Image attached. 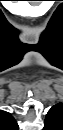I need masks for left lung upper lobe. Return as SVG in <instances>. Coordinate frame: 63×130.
Wrapping results in <instances>:
<instances>
[{"label":"left lung upper lobe","mask_w":63,"mask_h":130,"mask_svg":"<svg viewBox=\"0 0 63 130\" xmlns=\"http://www.w3.org/2000/svg\"><path fill=\"white\" fill-rule=\"evenodd\" d=\"M43 130H63V104L58 103L47 113Z\"/></svg>","instance_id":"obj_1"}]
</instances>
